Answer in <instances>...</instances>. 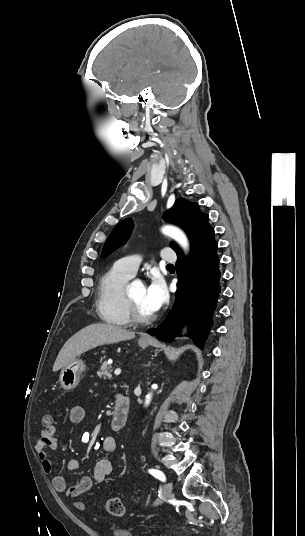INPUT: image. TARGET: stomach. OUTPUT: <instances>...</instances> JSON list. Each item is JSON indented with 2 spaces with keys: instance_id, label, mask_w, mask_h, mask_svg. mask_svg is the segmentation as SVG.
Wrapping results in <instances>:
<instances>
[{
  "instance_id": "1",
  "label": "stomach",
  "mask_w": 305,
  "mask_h": 536,
  "mask_svg": "<svg viewBox=\"0 0 305 536\" xmlns=\"http://www.w3.org/2000/svg\"><path fill=\"white\" fill-rule=\"evenodd\" d=\"M140 348H147L149 340H139ZM85 370V364L82 360H73L68 366L62 368L59 376V382L63 390H74L78 386L81 376Z\"/></svg>"
}]
</instances>
